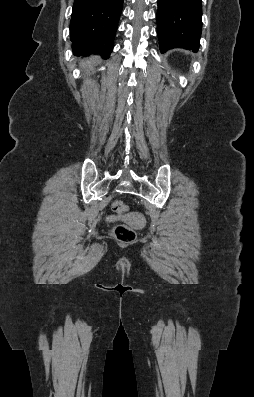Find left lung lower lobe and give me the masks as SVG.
I'll return each mask as SVG.
<instances>
[{"mask_svg":"<svg viewBox=\"0 0 254 397\" xmlns=\"http://www.w3.org/2000/svg\"><path fill=\"white\" fill-rule=\"evenodd\" d=\"M201 30V0H158L157 33L162 53L172 48L196 51Z\"/></svg>","mask_w":254,"mask_h":397,"instance_id":"0a47b994","label":"left lung lower lobe"}]
</instances>
